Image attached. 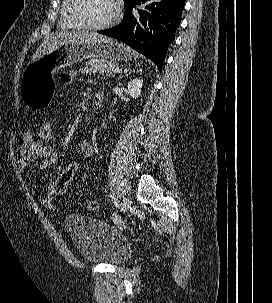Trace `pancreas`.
I'll return each mask as SVG.
<instances>
[{
    "instance_id": "cf45deb5",
    "label": "pancreas",
    "mask_w": 272,
    "mask_h": 303,
    "mask_svg": "<svg viewBox=\"0 0 272 303\" xmlns=\"http://www.w3.org/2000/svg\"><path fill=\"white\" fill-rule=\"evenodd\" d=\"M119 65L114 61H107L104 59H91L85 63V67L81 70L82 74H91L94 72H99L100 74H106L107 76H114L115 68Z\"/></svg>"
}]
</instances>
